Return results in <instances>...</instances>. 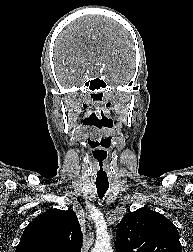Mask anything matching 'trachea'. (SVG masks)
<instances>
[{"instance_id":"trachea-1","label":"trachea","mask_w":193,"mask_h":252,"mask_svg":"<svg viewBox=\"0 0 193 252\" xmlns=\"http://www.w3.org/2000/svg\"><path fill=\"white\" fill-rule=\"evenodd\" d=\"M96 188H97L99 198H102L104 194L106 193V191L108 190L109 184L97 183Z\"/></svg>"}]
</instances>
